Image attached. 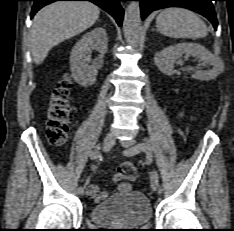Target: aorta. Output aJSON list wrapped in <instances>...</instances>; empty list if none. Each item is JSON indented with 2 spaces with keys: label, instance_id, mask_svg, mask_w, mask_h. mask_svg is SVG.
<instances>
[{
  "label": "aorta",
  "instance_id": "aorta-1",
  "mask_svg": "<svg viewBox=\"0 0 234 231\" xmlns=\"http://www.w3.org/2000/svg\"><path fill=\"white\" fill-rule=\"evenodd\" d=\"M123 32L127 43L136 47L141 35V12L137 2H131L125 10Z\"/></svg>",
  "mask_w": 234,
  "mask_h": 231
}]
</instances>
